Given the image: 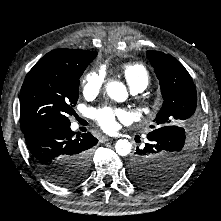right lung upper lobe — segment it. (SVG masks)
<instances>
[{
    "mask_svg": "<svg viewBox=\"0 0 221 221\" xmlns=\"http://www.w3.org/2000/svg\"><path fill=\"white\" fill-rule=\"evenodd\" d=\"M93 56L96 57L97 52L74 49H56L42 57L29 71V73L53 68L55 66L80 64Z\"/></svg>",
    "mask_w": 221,
    "mask_h": 221,
    "instance_id": "cb5924a9",
    "label": "right lung upper lobe"
}]
</instances>
